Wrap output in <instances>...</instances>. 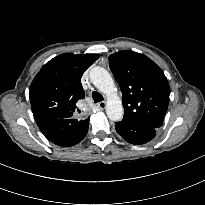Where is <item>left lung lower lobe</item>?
Returning <instances> with one entry per match:
<instances>
[{
  "label": "left lung lower lobe",
  "instance_id": "0a47b994",
  "mask_svg": "<svg viewBox=\"0 0 205 205\" xmlns=\"http://www.w3.org/2000/svg\"><path fill=\"white\" fill-rule=\"evenodd\" d=\"M115 129L127 142L134 145H142L154 138L156 128L144 123L123 118L117 122Z\"/></svg>",
  "mask_w": 205,
  "mask_h": 205
}]
</instances>
